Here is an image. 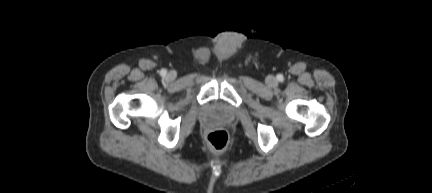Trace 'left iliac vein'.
<instances>
[{"label":"left iliac vein","instance_id":"1","mask_svg":"<svg viewBox=\"0 0 432 193\" xmlns=\"http://www.w3.org/2000/svg\"><path fill=\"white\" fill-rule=\"evenodd\" d=\"M267 82H268V84H270V85H274V84L276 83V80H275L274 77H269V78L267 79Z\"/></svg>","mask_w":432,"mask_h":193}]
</instances>
